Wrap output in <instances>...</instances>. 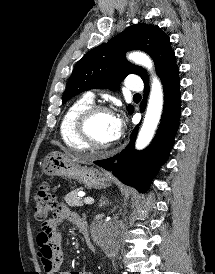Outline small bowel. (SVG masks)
Here are the masks:
<instances>
[{"mask_svg":"<svg viewBox=\"0 0 215 274\" xmlns=\"http://www.w3.org/2000/svg\"><path fill=\"white\" fill-rule=\"evenodd\" d=\"M66 220L72 221L79 230L86 227L85 221L73 213L65 204H60L57 212L42 225L41 231L37 235L38 256L46 274H71L61 270L64 255L62 236L58 231V225ZM75 274L92 273L80 272Z\"/></svg>","mask_w":215,"mask_h":274,"instance_id":"small-bowel-1","label":"small bowel"}]
</instances>
